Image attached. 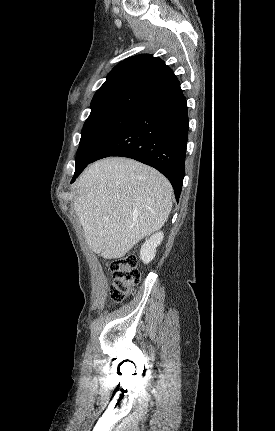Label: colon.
<instances>
[{
	"label": "colon",
	"instance_id": "obj_1",
	"mask_svg": "<svg viewBox=\"0 0 275 431\" xmlns=\"http://www.w3.org/2000/svg\"><path fill=\"white\" fill-rule=\"evenodd\" d=\"M110 269L113 275L109 290L110 299L114 303H119L134 293L135 285L140 280L136 258L132 254H127L112 261Z\"/></svg>",
	"mask_w": 275,
	"mask_h": 431
}]
</instances>
